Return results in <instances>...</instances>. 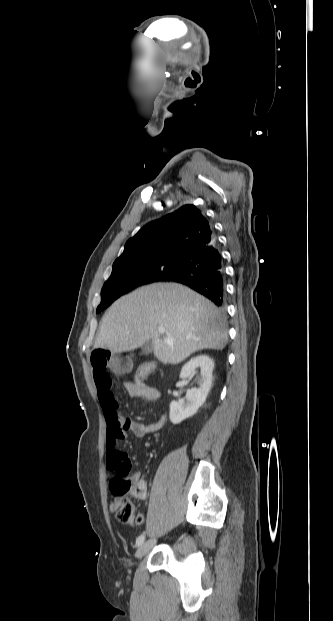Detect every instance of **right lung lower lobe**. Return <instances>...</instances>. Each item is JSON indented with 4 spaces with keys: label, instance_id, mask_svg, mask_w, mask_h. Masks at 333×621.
Instances as JSON below:
<instances>
[{
    "label": "right lung lower lobe",
    "instance_id": "98d812e1",
    "mask_svg": "<svg viewBox=\"0 0 333 621\" xmlns=\"http://www.w3.org/2000/svg\"><path fill=\"white\" fill-rule=\"evenodd\" d=\"M161 281L187 285L210 299L218 307H224V264L216 238L185 257L183 264L173 274Z\"/></svg>",
    "mask_w": 333,
    "mask_h": 621
}]
</instances>
